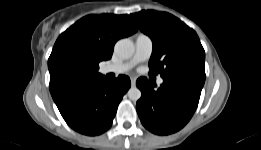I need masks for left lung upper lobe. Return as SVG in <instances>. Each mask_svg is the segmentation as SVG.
<instances>
[{"label":"left lung upper lobe","instance_id":"5c2ea615","mask_svg":"<svg viewBox=\"0 0 261 150\" xmlns=\"http://www.w3.org/2000/svg\"><path fill=\"white\" fill-rule=\"evenodd\" d=\"M153 42L149 74L169 77L192 72L205 76V51L196 32L175 16L154 10L130 15Z\"/></svg>","mask_w":261,"mask_h":150}]
</instances>
